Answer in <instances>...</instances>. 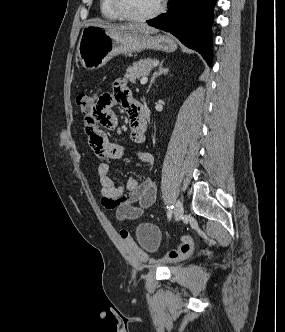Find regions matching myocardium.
<instances>
[{"label": "myocardium", "instance_id": "f54148a6", "mask_svg": "<svg viewBox=\"0 0 285 332\" xmlns=\"http://www.w3.org/2000/svg\"><path fill=\"white\" fill-rule=\"evenodd\" d=\"M112 6L114 10L123 18L129 21L133 22H145L151 19H154L157 17L163 10V0H160L157 8L146 15H134L130 13L126 7L124 6V3L122 0H111Z\"/></svg>", "mask_w": 285, "mask_h": 332}]
</instances>
